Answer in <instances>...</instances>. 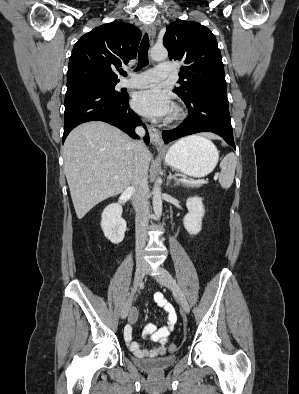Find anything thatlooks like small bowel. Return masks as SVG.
Listing matches in <instances>:
<instances>
[{
    "label": "small bowel",
    "instance_id": "obj_1",
    "mask_svg": "<svg viewBox=\"0 0 299 394\" xmlns=\"http://www.w3.org/2000/svg\"><path fill=\"white\" fill-rule=\"evenodd\" d=\"M154 302L161 307L166 313V325L157 327L155 324L149 323L143 327L142 334L144 337H150V339L156 343V347L152 349L143 348L138 342L133 340V329L134 325L138 320V313L136 309L130 311L128 321L129 324L124 329V338L129 346L130 350L138 358H154L164 354L165 345L172 331L174 330L177 322V314L175 308L171 302L161 292H156L153 295Z\"/></svg>",
    "mask_w": 299,
    "mask_h": 394
}]
</instances>
